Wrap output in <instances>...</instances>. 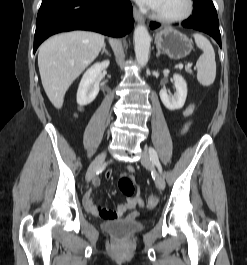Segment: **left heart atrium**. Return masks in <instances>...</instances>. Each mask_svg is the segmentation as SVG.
<instances>
[{"label":"left heart atrium","mask_w":247,"mask_h":265,"mask_svg":"<svg viewBox=\"0 0 247 265\" xmlns=\"http://www.w3.org/2000/svg\"><path fill=\"white\" fill-rule=\"evenodd\" d=\"M139 5L154 9L158 0H135Z\"/></svg>","instance_id":"obj_1"}]
</instances>
